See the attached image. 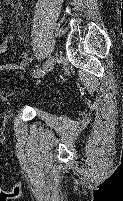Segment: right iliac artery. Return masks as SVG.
I'll use <instances>...</instances> for the list:
<instances>
[{"label":"right iliac artery","mask_w":123,"mask_h":201,"mask_svg":"<svg viewBox=\"0 0 123 201\" xmlns=\"http://www.w3.org/2000/svg\"><path fill=\"white\" fill-rule=\"evenodd\" d=\"M43 73H44V71L39 69V70L34 71V72L32 73V75H33L34 77H41V76H43Z\"/></svg>","instance_id":"right-iliac-artery-1"}]
</instances>
